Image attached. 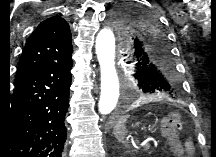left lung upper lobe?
<instances>
[{"label":"left lung upper lobe","instance_id":"left-lung-upper-lobe-1","mask_svg":"<svg viewBox=\"0 0 216 157\" xmlns=\"http://www.w3.org/2000/svg\"><path fill=\"white\" fill-rule=\"evenodd\" d=\"M110 25L118 32L124 57L138 89L146 95L178 100L182 84L168 47L167 31L153 10L134 4L116 7Z\"/></svg>","mask_w":216,"mask_h":157}]
</instances>
